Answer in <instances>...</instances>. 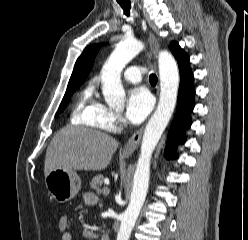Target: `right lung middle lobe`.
Here are the masks:
<instances>
[{"label": "right lung middle lobe", "instance_id": "dd1d6c3e", "mask_svg": "<svg viewBox=\"0 0 248 240\" xmlns=\"http://www.w3.org/2000/svg\"><path fill=\"white\" fill-rule=\"evenodd\" d=\"M81 83H82L81 81H76V80L69 81L66 93H65L63 100L61 102V105L58 109V113H61L65 109L72 94L77 90V88L81 85ZM56 116H57V114H56Z\"/></svg>", "mask_w": 248, "mask_h": 240}]
</instances>
